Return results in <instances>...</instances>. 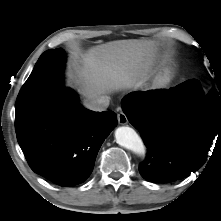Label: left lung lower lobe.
Masks as SVG:
<instances>
[{"mask_svg": "<svg viewBox=\"0 0 221 221\" xmlns=\"http://www.w3.org/2000/svg\"><path fill=\"white\" fill-rule=\"evenodd\" d=\"M199 91L192 79L168 91H136L122 99L124 113L148 148L139 165L146 180L169 183L189 176L205 163L214 138L221 141V103L181 98Z\"/></svg>", "mask_w": 221, "mask_h": 221, "instance_id": "0a47b994", "label": "left lung lower lobe"}]
</instances>
